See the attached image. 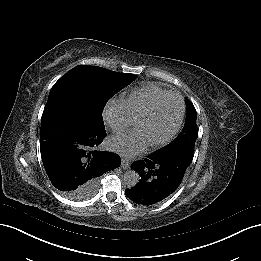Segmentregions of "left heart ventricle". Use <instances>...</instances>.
<instances>
[{"label":"left heart ventricle","instance_id":"obj_1","mask_svg":"<svg viewBox=\"0 0 261 261\" xmlns=\"http://www.w3.org/2000/svg\"><path fill=\"white\" fill-rule=\"evenodd\" d=\"M177 118L178 107L172 104L165 110L143 119L138 125L136 134L146 141L161 139L174 127Z\"/></svg>","mask_w":261,"mask_h":261}]
</instances>
